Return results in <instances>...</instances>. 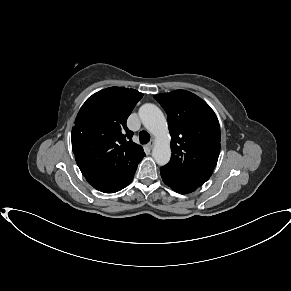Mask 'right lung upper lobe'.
<instances>
[{"label": "right lung upper lobe", "mask_w": 291, "mask_h": 291, "mask_svg": "<svg viewBox=\"0 0 291 291\" xmlns=\"http://www.w3.org/2000/svg\"><path fill=\"white\" fill-rule=\"evenodd\" d=\"M143 94L124 87L103 89L87 99L72 130V150L82 174L119 175L138 163L145 153L132 142L126 121Z\"/></svg>", "instance_id": "cb5924a9"}]
</instances>
